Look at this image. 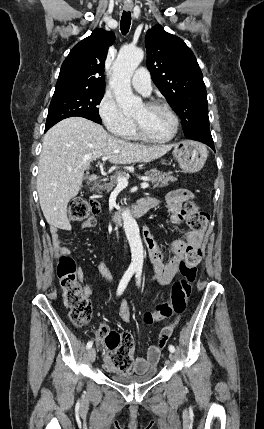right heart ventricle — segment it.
<instances>
[{
    "label": "right heart ventricle",
    "mask_w": 264,
    "mask_h": 429,
    "mask_svg": "<svg viewBox=\"0 0 264 429\" xmlns=\"http://www.w3.org/2000/svg\"><path fill=\"white\" fill-rule=\"evenodd\" d=\"M124 137L127 139H130V140H134V139L138 138L134 124H133L132 128L128 131V133Z\"/></svg>",
    "instance_id": "right-heart-ventricle-1"
}]
</instances>
